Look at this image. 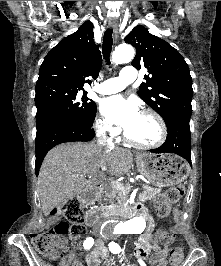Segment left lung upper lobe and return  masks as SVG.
<instances>
[{"label": "left lung upper lobe", "instance_id": "left-lung-upper-lobe-1", "mask_svg": "<svg viewBox=\"0 0 221 266\" xmlns=\"http://www.w3.org/2000/svg\"><path fill=\"white\" fill-rule=\"evenodd\" d=\"M125 42L136 48L132 61L137 69L147 68L145 83L138 95L165 121L166 125L177 119L190 120L193 95L192 78L183 56L166 41L154 36L138 25Z\"/></svg>", "mask_w": 221, "mask_h": 266}]
</instances>
